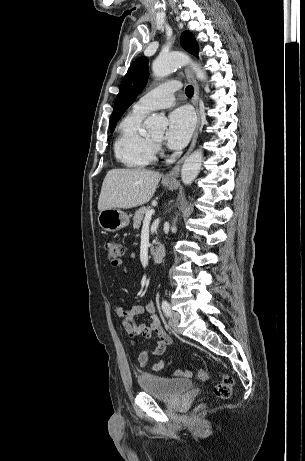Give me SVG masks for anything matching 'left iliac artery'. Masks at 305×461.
I'll return each instance as SVG.
<instances>
[{"label":"left iliac artery","mask_w":305,"mask_h":461,"mask_svg":"<svg viewBox=\"0 0 305 461\" xmlns=\"http://www.w3.org/2000/svg\"><path fill=\"white\" fill-rule=\"evenodd\" d=\"M161 306H162V310H163L164 314L167 317H170L171 316V308H170L169 303L166 300H163Z\"/></svg>","instance_id":"left-iliac-artery-1"}]
</instances>
